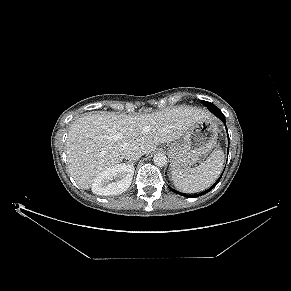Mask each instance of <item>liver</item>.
<instances>
[{
    "label": "liver",
    "mask_w": 291,
    "mask_h": 291,
    "mask_svg": "<svg viewBox=\"0 0 291 291\" xmlns=\"http://www.w3.org/2000/svg\"><path fill=\"white\" fill-rule=\"evenodd\" d=\"M210 117L208 111L184 105L136 116L87 114L76 119L68 131L69 172L78 186L87 190L101 172L122 162L128 147L150 154L158 145L178 140L195 123Z\"/></svg>",
    "instance_id": "liver-1"
}]
</instances>
